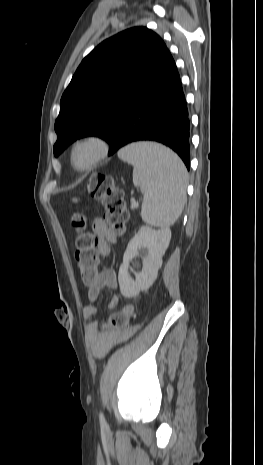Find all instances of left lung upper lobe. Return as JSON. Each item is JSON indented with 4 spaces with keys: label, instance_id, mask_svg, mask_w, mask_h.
I'll list each match as a JSON object with an SVG mask.
<instances>
[{
    "label": "left lung upper lobe",
    "instance_id": "1",
    "mask_svg": "<svg viewBox=\"0 0 263 465\" xmlns=\"http://www.w3.org/2000/svg\"><path fill=\"white\" fill-rule=\"evenodd\" d=\"M165 49L163 40L146 27L127 29L94 48L62 95L54 155L84 136L110 143L139 79Z\"/></svg>",
    "mask_w": 263,
    "mask_h": 465
}]
</instances>
